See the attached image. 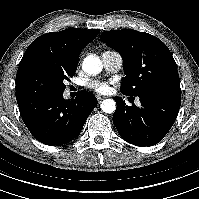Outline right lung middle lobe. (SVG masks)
I'll return each instance as SVG.
<instances>
[{"mask_svg": "<svg viewBox=\"0 0 199 199\" xmlns=\"http://www.w3.org/2000/svg\"><path fill=\"white\" fill-rule=\"evenodd\" d=\"M76 69L64 71L42 60H30L18 68L16 99L63 93L66 87L64 82L74 76Z\"/></svg>", "mask_w": 199, "mask_h": 199, "instance_id": "obj_1", "label": "right lung middle lobe"}]
</instances>
